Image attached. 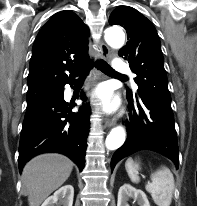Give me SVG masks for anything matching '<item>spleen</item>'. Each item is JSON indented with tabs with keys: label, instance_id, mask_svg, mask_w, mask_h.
<instances>
[{
	"label": "spleen",
	"instance_id": "obj_1",
	"mask_svg": "<svg viewBox=\"0 0 197 206\" xmlns=\"http://www.w3.org/2000/svg\"><path fill=\"white\" fill-rule=\"evenodd\" d=\"M125 169L130 180L133 183H139V164L132 158H128L125 162ZM174 187L173 174L167 167L163 166L151 175V183L148 182L145 189L151 194L157 206H170Z\"/></svg>",
	"mask_w": 197,
	"mask_h": 206
}]
</instances>
